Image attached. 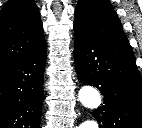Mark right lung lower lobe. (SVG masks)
Listing matches in <instances>:
<instances>
[{"label": "right lung lower lobe", "instance_id": "right-lung-lower-lobe-1", "mask_svg": "<svg viewBox=\"0 0 142 128\" xmlns=\"http://www.w3.org/2000/svg\"><path fill=\"white\" fill-rule=\"evenodd\" d=\"M46 43L0 69V128H40Z\"/></svg>", "mask_w": 142, "mask_h": 128}]
</instances>
